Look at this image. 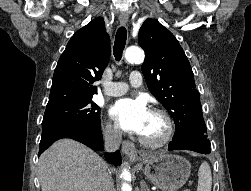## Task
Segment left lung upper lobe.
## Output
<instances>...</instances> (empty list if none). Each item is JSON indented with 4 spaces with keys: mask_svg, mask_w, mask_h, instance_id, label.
<instances>
[{
    "mask_svg": "<svg viewBox=\"0 0 251 191\" xmlns=\"http://www.w3.org/2000/svg\"><path fill=\"white\" fill-rule=\"evenodd\" d=\"M145 51L142 72L150 92L173 117V139L188 133H207L200 94L190 63L175 36L157 20L148 18L139 30Z\"/></svg>",
    "mask_w": 251,
    "mask_h": 191,
    "instance_id": "1",
    "label": "left lung upper lobe"
}]
</instances>
